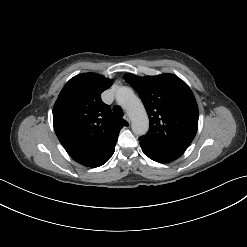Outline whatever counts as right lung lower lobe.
Returning a JSON list of instances; mask_svg holds the SVG:
<instances>
[{"label":"right lung lower lobe","mask_w":247,"mask_h":247,"mask_svg":"<svg viewBox=\"0 0 247 247\" xmlns=\"http://www.w3.org/2000/svg\"><path fill=\"white\" fill-rule=\"evenodd\" d=\"M115 145L116 143H114L111 147H109L106 150V152L101 156V158L95 164L91 165L90 167L95 168V167L105 164L113 155L115 151Z\"/></svg>","instance_id":"right-lung-lower-lobe-1"}]
</instances>
